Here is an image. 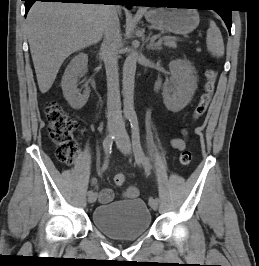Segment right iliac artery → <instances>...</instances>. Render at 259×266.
Wrapping results in <instances>:
<instances>
[{"mask_svg":"<svg viewBox=\"0 0 259 266\" xmlns=\"http://www.w3.org/2000/svg\"><path fill=\"white\" fill-rule=\"evenodd\" d=\"M115 138V134H111V135H108L104 141H103V147H104V151H105V161H104V164L101 168V171L99 172V174H101L102 172H104L107 167H108V164H109V155L111 153V146H112V143H113V139ZM93 194V191L92 190H89L88 191V196L89 195H92Z\"/></svg>","mask_w":259,"mask_h":266,"instance_id":"right-iliac-artery-1","label":"right iliac artery"}]
</instances>
